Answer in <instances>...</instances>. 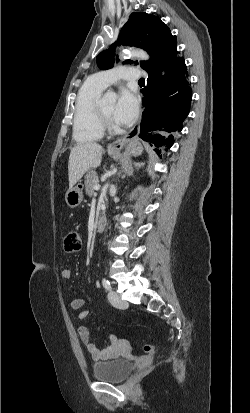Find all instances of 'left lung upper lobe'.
I'll list each match as a JSON object with an SVG mask.
<instances>
[{"label":"left lung upper lobe","mask_w":250,"mask_h":413,"mask_svg":"<svg viewBox=\"0 0 250 413\" xmlns=\"http://www.w3.org/2000/svg\"><path fill=\"white\" fill-rule=\"evenodd\" d=\"M163 43L176 44V36L171 34L170 29L156 16L143 12L133 13L121 29L117 42L97 56V65L102 70L112 68L115 63V46L126 45L143 48L150 54L149 61L140 62V66L144 70H148L157 47ZM116 62H118V58H116ZM124 63L131 64L133 62L126 60Z\"/></svg>","instance_id":"obj_1"}]
</instances>
